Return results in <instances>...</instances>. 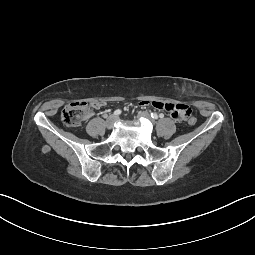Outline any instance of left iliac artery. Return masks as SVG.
I'll return each mask as SVG.
<instances>
[{
	"label": "left iliac artery",
	"instance_id": "left-iliac-artery-1",
	"mask_svg": "<svg viewBox=\"0 0 255 255\" xmlns=\"http://www.w3.org/2000/svg\"><path fill=\"white\" fill-rule=\"evenodd\" d=\"M151 117L153 119H158V117H160V116H158L156 113H151Z\"/></svg>",
	"mask_w": 255,
	"mask_h": 255
}]
</instances>
